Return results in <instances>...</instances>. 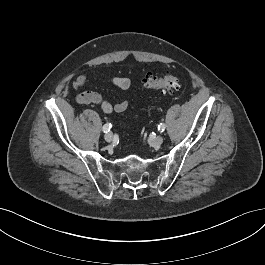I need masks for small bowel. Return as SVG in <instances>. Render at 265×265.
<instances>
[{
  "label": "small bowel",
  "instance_id": "c3829d8e",
  "mask_svg": "<svg viewBox=\"0 0 265 265\" xmlns=\"http://www.w3.org/2000/svg\"><path fill=\"white\" fill-rule=\"evenodd\" d=\"M105 71L106 69L102 68L101 70H98V71H93V72L79 75L73 81L72 86L75 90H83L86 87L90 78L104 76L110 83H112L113 85H115L116 87L122 90H127L130 88L131 81L129 78L109 76L104 73ZM76 101L79 104L99 106L102 109V111L105 113L123 112L129 106V102L127 100H120L117 103L112 104L109 101L102 98L98 93H95L92 91L80 92L76 97Z\"/></svg>",
  "mask_w": 265,
  "mask_h": 265
}]
</instances>
